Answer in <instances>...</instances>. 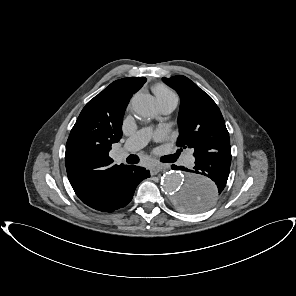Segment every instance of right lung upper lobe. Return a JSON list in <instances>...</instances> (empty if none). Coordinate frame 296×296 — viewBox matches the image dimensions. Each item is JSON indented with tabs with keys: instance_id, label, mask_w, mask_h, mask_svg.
<instances>
[{
	"instance_id": "cb5924a9",
	"label": "right lung upper lobe",
	"mask_w": 296,
	"mask_h": 296,
	"mask_svg": "<svg viewBox=\"0 0 296 296\" xmlns=\"http://www.w3.org/2000/svg\"><path fill=\"white\" fill-rule=\"evenodd\" d=\"M144 77L114 81L81 111L66 144L65 164L70 184L79 199L102 210L119 190L129 166L113 165L109 151L122 137L123 116Z\"/></svg>"
}]
</instances>
